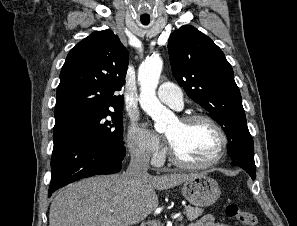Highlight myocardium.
Returning a JSON list of instances; mask_svg holds the SVG:
<instances>
[{
  "label": "myocardium",
  "instance_id": "1",
  "mask_svg": "<svg viewBox=\"0 0 297 226\" xmlns=\"http://www.w3.org/2000/svg\"><path fill=\"white\" fill-rule=\"evenodd\" d=\"M196 121H203L208 123L213 127V129L217 132L219 136V146L217 148V151L215 155L208 160L205 163H190L182 160L173 147L170 148V160L171 162L176 165L177 167L183 168V169H189V170H204L208 169L216 164H218L221 159L223 158L227 144H228V137L222 126L211 116L201 113H195V114H188L180 118V122L183 124L192 123Z\"/></svg>",
  "mask_w": 297,
  "mask_h": 226
}]
</instances>
